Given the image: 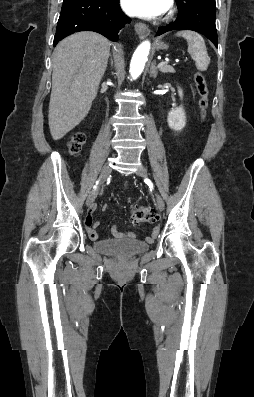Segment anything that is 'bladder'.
Returning a JSON list of instances; mask_svg holds the SVG:
<instances>
[{
    "label": "bladder",
    "mask_w": 254,
    "mask_h": 397,
    "mask_svg": "<svg viewBox=\"0 0 254 397\" xmlns=\"http://www.w3.org/2000/svg\"><path fill=\"white\" fill-rule=\"evenodd\" d=\"M94 248L104 254L116 257H131L145 252L148 245L137 239L98 241L94 243Z\"/></svg>",
    "instance_id": "obj_1"
}]
</instances>
